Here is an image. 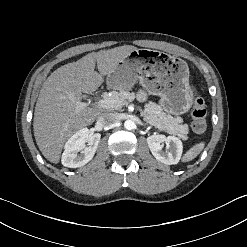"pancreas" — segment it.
Here are the masks:
<instances>
[{
    "label": "pancreas",
    "instance_id": "pancreas-1",
    "mask_svg": "<svg viewBox=\"0 0 247 247\" xmlns=\"http://www.w3.org/2000/svg\"><path fill=\"white\" fill-rule=\"evenodd\" d=\"M106 98L114 99L122 103H127L135 99V93H131L125 90L112 91L111 96H106ZM142 116L148 124L160 130H163L172 135H176L183 140H186L188 138V126L186 124H181L182 119L179 117L175 118L169 114H166L165 112H163L162 107L154 102H149L145 105Z\"/></svg>",
    "mask_w": 247,
    "mask_h": 247
}]
</instances>
